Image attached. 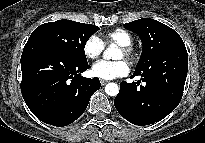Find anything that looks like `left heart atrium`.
I'll return each mask as SVG.
<instances>
[{
	"label": "left heart atrium",
	"mask_w": 205,
	"mask_h": 143,
	"mask_svg": "<svg viewBox=\"0 0 205 143\" xmlns=\"http://www.w3.org/2000/svg\"><path fill=\"white\" fill-rule=\"evenodd\" d=\"M91 71L95 77L111 80L125 76L129 72V66L127 62L122 59L116 61L101 60L92 66Z\"/></svg>",
	"instance_id": "left-heart-atrium-1"
}]
</instances>
